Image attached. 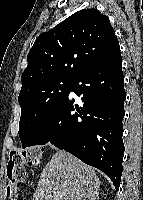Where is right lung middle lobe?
<instances>
[{
	"label": "right lung middle lobe",
	"instance_id": "dd1d6c3e",
	"mask_svg": "<svg viewBox=\"0 0 143 200\" xmlns=\"http://www.w3.org/2000/svg\"><path fill=\"white\" fill-rule=\"evenodd\" d=\"M73 79H50L20 91L19 137L22 147L28 146L46 118L65 98Z\"/></svg>",
	"mask_w": 143,
	"mask_h": 200
}]
</instances>
